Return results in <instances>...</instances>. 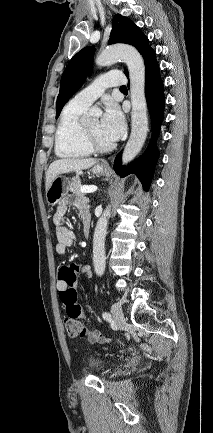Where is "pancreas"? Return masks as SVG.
<instances>
[{"label":"pancreas","instance_id":"cf45deb5","mask_svg":"<svg viewBox=\"0 0 213 433\" xmlns=\"http://www.w3.org/2000/svg\"><path fill=\"white\" fill-rule=\"evenodd\" d=\"M82 187L80 178L78 176L73 177L70 184V191L73 192L76 196H82L80 189Z\"/></svg>","mask_w":213,"mask_h":433}]
</instances>
